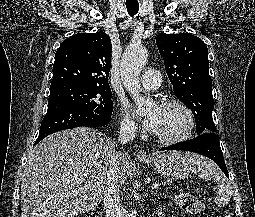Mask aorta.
<instances>
[{"label": "aorta", "instance_id": "aorta-1", "mask_svg": "<svg viewBox=\"0 0 255 217\" xmlns=\"http://www.w3.org/2000/svg\"><path fill=\"white\" fill-rule=\"evenodd\" d=\"M147 60L148 52L145 47L140 44H130L124 51L120 64L122 83L135 101L139 115H145L154 105L152 99L139 94V76Z\"/></svg>", "mask_w": 255, "mask_h": 217}]
</instances>
